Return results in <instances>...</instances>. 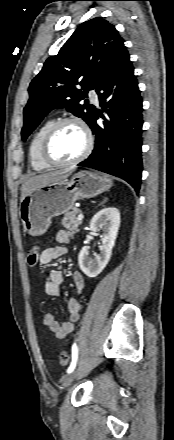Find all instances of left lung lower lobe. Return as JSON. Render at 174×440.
Segmentation results:
<instances>
[{
  "mask_svg": "<svg viewBox=\"0 0 174 440\" xmlns=\"http://www.w3.org/2000/svg\"><path fill=\"white\" fill-rule=\"evenodd\" d=\"M97 93L105 115L94 110L88 125L95 135V146L79 166L120 177L136 192L142 173V100L134 68L126 48L102 77ZM98 116L103 125L96 123Z\"/></svg>",
  "mask_w": 174,
  "mask_h": 440,
  "instance_id": "0a47b994",
  "label": "left lung lower lobe"
}]
</instances>
